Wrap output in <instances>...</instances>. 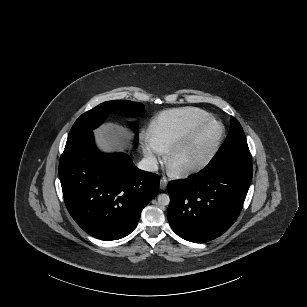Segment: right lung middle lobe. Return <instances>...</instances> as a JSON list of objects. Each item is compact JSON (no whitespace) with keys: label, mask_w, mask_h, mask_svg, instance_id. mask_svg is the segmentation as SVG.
Segmentation results:
<instances>
[{"label":"right lung middle lobe","mask_w":307,"mask_h":307,"mask_svg":"<svg viewBox=\"0 0 307 307\" xmlns=\"http://www.w3.org/2000/svg\"><path fill=\"white\" fill-rule=\"evenodd\" d=\"M112 109H121L132 117L140 116L144 112V106L141 103L129 100L106 101L87 111L76 120L69 132L67 142L98 127ZM137 133L138 131H136ZM137 140L138 137L136 136V142Z\"/></svg>","instance_id":"right-lung-middle-lobe-1"}]
</instances>
